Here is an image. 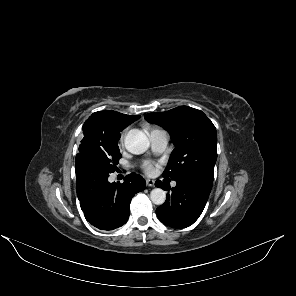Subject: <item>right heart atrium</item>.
I'll list each match as a JSON object with an SVG mask.
<instances>
[{"mask_svg":"<svg viewBox=\"0 0 296 296\" xmlns=\"http://www.w3.org/2000/svg\"><path fill=\"white\" fill-rule=\"evenodd\" d=\"M124 138H125V133H123V134L121 135V138H120V142H121V143L124 142Z\"/></svg>","mask_w":296,"mask_h":296,"instance_id":"d8ad5b80","label":"right heart atrium"}]
</instances>
